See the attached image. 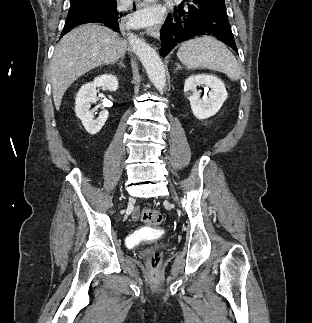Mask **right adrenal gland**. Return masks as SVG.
Instances as JSON below:
<instances>
[{
  "instance_id": "2a0ac1e0",
  "label": "right adrenal gland",
  "mask_w": 312,
  "mask_h": 323,
  "mask_svg": "<svg viewBox=\"0 0 312 323\" xmlns=\"http://www.w3.org/2000/svg\"><path fill=\"white\" fill-rule=\"evenodd\" d=\"M123 60H125V58H120V62H119V64H120V66H122V68H125V66H124V64H123Z\"/></svg>"
}]
</instances>
